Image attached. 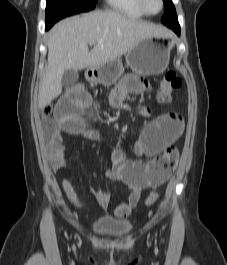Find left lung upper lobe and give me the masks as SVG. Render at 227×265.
Segmentation results:
<instances>
[{
    "label": "left lung upper lobe",
    "mask_w": 227,
    "mask_h": 265,
    "mask_svg": "<svg viewBox=\"0 0 227 265\" xmlns=\"http://www.w3.org/2000/svg\"><path fill=\"white\" fill-rule=\"evenodd\" d=\"M163 2L165 4V12L162 17V22L168 27H171V25L178 26L179 23L172 0H163Z\"/></svg>",
    "instance_id": "obj_1"
}]
</instances>
